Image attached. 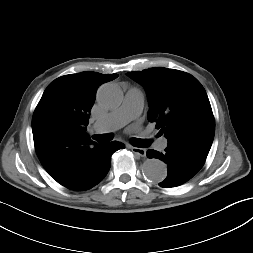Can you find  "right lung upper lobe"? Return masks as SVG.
<instances>
[{"mask_svg":"<svg viewBox=\"0 0 253 253\" xmlns=\"http://www.w3.org/2000/svg\"><path fill=\"white\" fill-rule=\"evenodd\" d=\"M117 74L81 72L55 79L44 91L32 118L36 153L61 185L80 181L101 147L86 133L97 88Z\"/></svg>","mask_w":253,"mask_h":253,"instance_id":"obj_1","label":"right lung upper lobe"}]
</instances>
